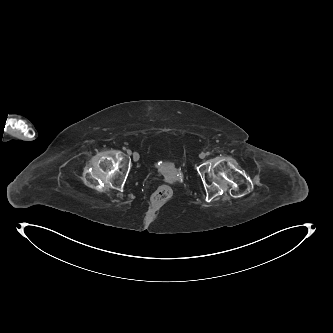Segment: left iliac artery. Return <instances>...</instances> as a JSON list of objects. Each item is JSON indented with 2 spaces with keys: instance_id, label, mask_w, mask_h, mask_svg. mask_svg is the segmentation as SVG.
Listing matches in <instances>:
<instances>
[{
  "instance_id": "1",
  "label": "left iliac artery",
  "mask_w": 333,
  "mask_h": 333,
  "mask_svg": "<svg viewBox=\"0 0 333 333\" xmlns=\"http://www.w3.org/2000/svg\"><path fill=\"white\" fill-rule=\"evenodd\" d=\"M206 154H207V155H210V152L208 151V152H206Z\"/></svg>"
}]
</instances>
